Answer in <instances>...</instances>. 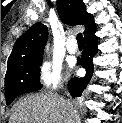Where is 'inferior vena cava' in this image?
<instances>
[{"label":"inferior vena cava","instance_id":"602c4592","mask_svg":"<svg viewBox=\"0 0 122 123\" xmlns=\"http://www.w3.org/2000/svg\"><path fill=\"white\" fill-rule=\"evenodd\" d=\"M66 105L68 108H70V110H72V103L70 102V100H66Z\"/></svg>","mask_w":122,"mask_h":123}]
</instances>
